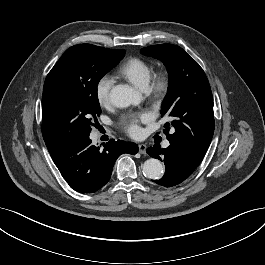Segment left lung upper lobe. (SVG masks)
Masks as SVG:
<instances>
[{"label": "left lung upper lobe", "mask_w": 265, "mask_h": 265, "mask_svg": "<svg viewBox=\"0 0 265 265\" xmlns=\"http://www.w3.org/2000/svg\"><path fill=\"white\" fill-rule=\"evenodd\" d=\"M141 53L162 60L169 74L161 115L172 120L164 130L170 145L200 164L215 126L212 92L203 69L182 48L172 44L148 46ZM170 127L173 134H169Z\"/></svg>", "instance_id": "obj_1"}]
</instances>
